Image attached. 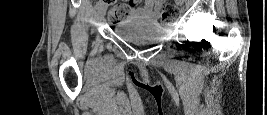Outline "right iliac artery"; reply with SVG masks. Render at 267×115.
Wrapping results in <instances>:
<instances>
[{
  "label": "right iliac artery",
  "mask_w": 267,
  "mask_h": 115,
  "mask_svg": "<svg viewBox=\"0 0 267 115\" xmlns=\"http://www.w3.org/2000/svg\"><path fill=\"white\" fill-rule=\"evenodd\" d=\"M101 5H102V2H101V1H98V2L96 3V8H97V9L100 8Z\"/></svg>",
  "instance_id": "1"
}]
</instances>
